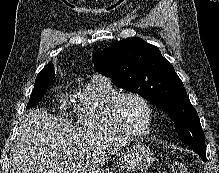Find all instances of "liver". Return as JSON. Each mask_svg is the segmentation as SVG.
Wrapping results in <instances>:
<instances>
[{
	"mask_svg": "<svg viewBox=\"0 0 219 173\" xmlns=\"http://www.w3.org/2000/svg\"><path fill=\"white\" fill-rule=\"evenodd\" d=\"M124 144L36 108L20 119L10 164L12 173H98Z\"/></svg>",
	"mask_w": 219,
	"mask_h": 173,
	"instance_id": "1",
	"label": "liver"
}]
</instances>
